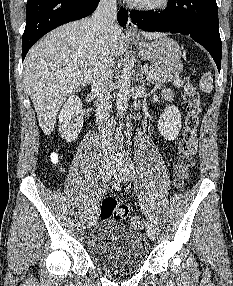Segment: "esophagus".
<instances>
[{
  "label": "esophagus",
  "mask_w": 233,
  "mask_h": 286,
  "mask_svg": "<svg viewBox=\"0 0 233 286\" xmlns=\"http://www.w3.org/2000/svg\"><path fill=\"white\" fill-rule=\"evenodd\" d=\"M126 33L132 37L137 36L136 26L130 17L128 18L126 23Z\"/></svg>",
  "instance_id": "34e87169"
}]
</instances>
